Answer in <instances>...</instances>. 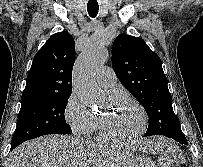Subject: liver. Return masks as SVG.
<instances>
[{"instance_id": "6515ba94", "label": "liver", "mask_w": 203, "mask_h": 167, "mask_svg": "<svg viewBox=\"0 0 203 167\" xmlns=\"http://www.w3.org/2000/svg\"><path fill=\"white\" fill-rule=\"evenodd\" d=\"M132 157L120 147L77 137L47 135L14 149L6 167H121Z\"/></svg>"}]
</instances>
